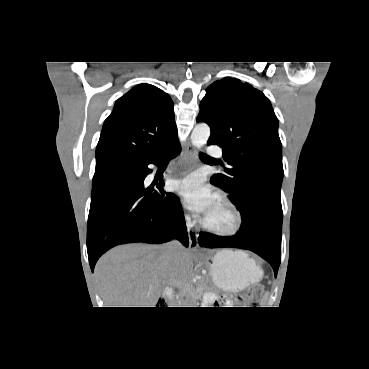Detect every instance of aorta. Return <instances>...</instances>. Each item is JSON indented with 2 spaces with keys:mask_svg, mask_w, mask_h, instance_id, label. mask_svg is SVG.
I'll return each mask as SVG.
<instances>
[{
  "mask_svg": "<svg viewBox=\"0 0 369 369\" xmlns=\"http://www.w3.org/2000/svg\"><path fill=\"white\" fill-rule=\"evenodd\" d=\"M210 136V127L205 123L197 124L191 134V142L196 148L204 146Z\"/></svg>",
  "mask_w": 369,
  "mask_h": 369,
  "instance_id": "762f6f07",
  "label": "aorta"
}]
</instances>
